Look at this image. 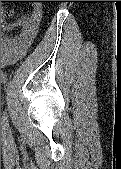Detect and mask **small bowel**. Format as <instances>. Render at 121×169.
I'll return each mask as SVG.
<instances>
[{"label":"small bowel","mask_w":121,"mask_h":169,"mask_svg":"<svg viewBox=\"0 0 121 169\" xmlns=\"http://www.w3.org/2000/svg\"><path fill=\"white\" fill-rule=\"evenodd\" d=\"M13 10H6L2 14L1 61L3 65H10L21 59L34 43L42 18V12L35 7L27 16L12 21ZM16 33H11L14 29Z\"/></svg>","instance_id":"1"}]
</instances>
